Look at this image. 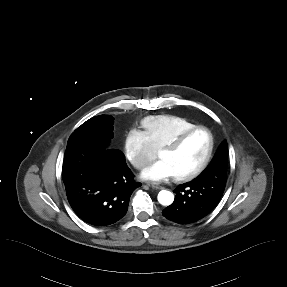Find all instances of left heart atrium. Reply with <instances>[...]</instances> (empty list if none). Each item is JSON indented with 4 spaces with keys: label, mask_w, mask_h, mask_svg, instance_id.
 Wrapping results in <instances>:
<instances>
[{
    "label": "left heart atrium",
    "mask_w": 287,
    "mask_h": 287,
    "mask_svg": "<svg viewBox=\"0 0 287 287\" xmlns=\"http://www.w3.org/2000/svg\"><path fill=\"white\" fill-rule=\"evenodd\" d=\"M141 177L144 180L161 182L174 177V173L168 163L160 159L146 167L142 171Z\"/></svg>",
    "instance_id": "39dd6f15"
}]
</instances>
